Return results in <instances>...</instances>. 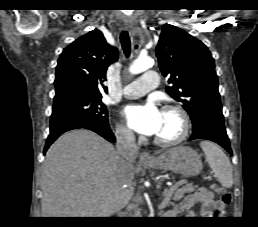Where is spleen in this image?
<instances>
[{"instance_id":"1","label":"spleen","mask_w":258,"mask_h":227,"mask_svg":"<svg viewBox=\"0 0 258 227\" xmlns=\"http://www.w3.org/2000/svg\"><path fill=\"white\" fill-rule=\"evenodd\" d=\"M200 146L210 168L216 174L220 184L225 188H231L233 185V173L229 158L221 148L213 142L202 141L200 142Z\"/></svg>"}]
</instances>
